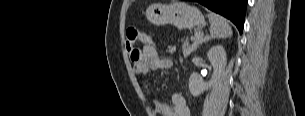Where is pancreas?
Returning a JSON list of instances; mask_svg holds the SVG:
<instances>
[{"mask_svg": "<svg viewBox=\"0 0 305 116\" xmlns=\"http://www.w3.org/2000/svg\"><path fill=\"white\" fill-rule=\"evenodd\" d=\"M192 39L195 41L198 40L195 38V36ZM199 39H200V37H199ZM194 48H195V46L189 45L188 39L183 40V54L185 57L188 56L194 50Z\"/></svg>", "mask_w": 305, "mask_h": 116, "instance_id": "1", "label": "pancreas"}]
</instances>
